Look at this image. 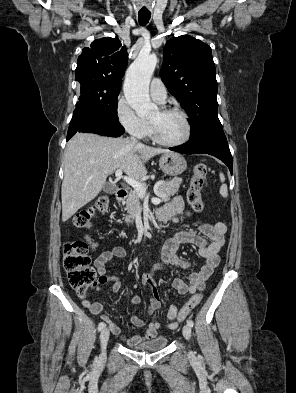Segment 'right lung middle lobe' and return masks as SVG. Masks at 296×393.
Returning a JSON list of instances; mask_svg holds the SVG:
<instances>
[{
    "mask_svg": "<svg viewBox=\"0 0 296 393\" xmlns=\"http://www.w3.org/2000/svg\"><path fill=\"white\" fill-rule=\"evenodd\" d=\"M119 92L108 91L92 84L81 85V95L76 106H86L109 118L118 120L117 102Z\"/></svg>",
    "mask_w": 296,
    "mask_h": 393,
    "instance_id": "dd1d6c3e",
    "label": "right lung middle lobe"
}]
</instances>
